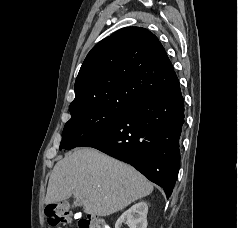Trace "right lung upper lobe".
I'll list each match as a JSON object with an SVG mask.
<instances>
[{
    "mask_svg": "<svg viewBox=\"0 0 238 228\" xmlns=\"http://www.w3.org/2000/svg\"><path fill=\"white\" fill-rule=\"evenodd\" d=\"M178 82L158 38L145 28L125 27L96 44L75 81L69 111L130 105Z\"/></svg>",
    "mask_w": 238,
    "mask_h": 228,
    "instance_id": "right-lung-upper-lobe-1",
    "label": "right lung upper lobe"
}]
</instances>
